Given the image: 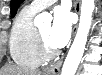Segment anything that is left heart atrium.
Listing matches in <instances>:
<instances>
[{"instance_id": "left-heart-atrium-1", "label": "left heart atrium", "mask_w": 102, "mask_h": 75, "mask_svg": "<svg viewBox=\"0 0 102 75\" xmlns=\"http://www.w3.org/2000/svg\"><path fill=\"white\" fill-rule=\"evenodd\" d=\"M72 19L69 11L64 7H57L50 29L49 40L54 48L64 47L71 36Z\"/></svg>"}]
</instances>
